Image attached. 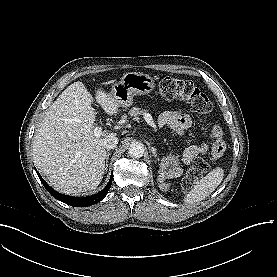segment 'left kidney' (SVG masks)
Listing matches in <instances>:
<instances>
[{
	"label": "left kidney",
	"instance_id": "obj_1",
	"mask_svg": "<svg viewBox=\"0 0 277 277\" xmlns=\"http://www.w3.org/2000/svg\"><path fill=\"white\" fill-rule=\"evenodd\" d=\"M158 181L160 182L161 188L166 187V185L163 183L165 179L172 178L174 176V173L172 170L166 171V163L163 161L160 166Z\"/></svg>",
	"mask_w": 277,
	"mask_h": 277
}]
</instances>
